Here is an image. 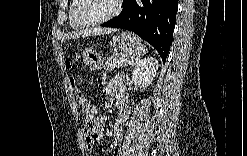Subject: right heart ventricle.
Wrapping results in <instances>:
<instances>
[{
	"instance_id": "right-heart-ventricle-1",
	"label": "right heart ventricle",
	"mask_w": 247,
	"mask_h": 156,
	"mask_svg": "<svg viewBox=\"0 0 247 156\" xmlns=\"http://www.w3.org/2000/svg\"><path fill=\"white\" fill-rule=\"evenodd\" d=\"M76 2H77V0H72L71 3H70L69 10H68V19H69L70 27L72 29H75V30L80 28L77 25H75V23L73 22V12H74V8H75V5H76Z\"/></svg>"
}]
</instances>
